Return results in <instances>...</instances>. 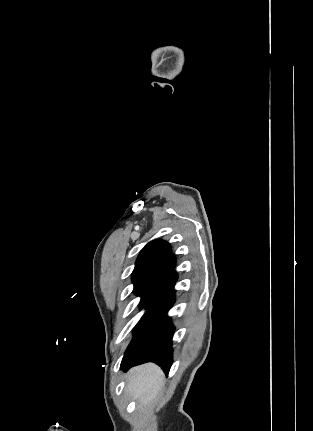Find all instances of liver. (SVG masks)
<instances>
[{"instance_id":"1","label":"liver","mask_w":313,"mask_h":431,"mask_svg":"<svg viewBox=\"0 0 313 431\" xmlns=\"http://www.w3.org/2000/svg\"><path fill=\"white\" fill-rule=\"evenodd\" d=\"M163 379V372L157 365L148 363L137 366L128 374L126 391L140 404L146 405L158 394Z\"/></svg>"}]
</instances>
